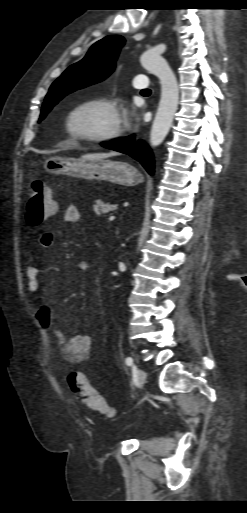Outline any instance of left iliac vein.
I'll use <instances>...</instances> for the list:
<instances>
[{
    "instance_id": "4c4485c4",
    "label": "left iliac vein",
    "mask_w": 247,
    "mask_h": 513,
    "mask_svg": "<svg viewBox=\"0 0 247 513\" xmlns=\"http://www.w3.org/2000/svg\"><path fill=\"white\" fill-rule=\"evenodd\" d=\"M146 373L142 370V369H138L137 371V378H138V383L140 385V387H143L145 382H146Z\"/></svg>"
}]
</instances>
